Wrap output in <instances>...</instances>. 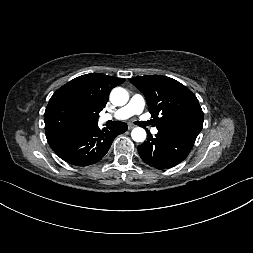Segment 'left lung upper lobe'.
<instances>
[{"mask_svg": "<svg viewBox=\"0 0 253 253\" xmlns=\"http://www.w3.org/2000/svg\"><path fill=\"white\" fill-rule=\"evenodd\" d=\"M145 96L158 131L197 138L203 112L196 96L180 82L160 75L130 79Z\"/></svg>", "mask_w": 253, "mask_h": 253, "instance_id": "left-lung-upper-lobe-1", "label": "left lung upper lobe"}]
</instances>
